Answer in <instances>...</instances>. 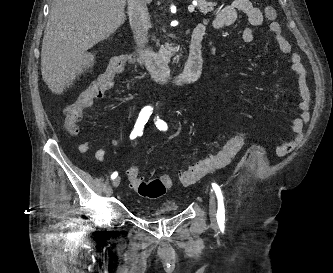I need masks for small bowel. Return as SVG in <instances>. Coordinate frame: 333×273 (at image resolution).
<instances>
[{"label":"small bowel","mask_w":333,"mask_h":273,"mask_svg":"<svg viewBox=\"0 0 333 273\" xmlns=\"http://www.w3.org/2000/svg\"><path fill=\"white\" fill-rule=\"evenodd\" d=\"M239 12L243 13L246 16L250 26H261L266 19V13L263 10L254 7L249 0H233L229 4L225 5L222 9H220V11L216 14L213 21L211 22V27H213L214 29H222L233 25L236 22L237 14ZM200 25L204 28V30L207 29V24ZM269 29L274 34V37L279 45L281 52L285 54H290L291 69L297 76L300 92L299 109L301 115L293 122V137L290 141L284 143L278 151L280 155H284L293 151L301 140L304 123L309 118L310 92L307 85L306 71L301 63L300 55L297 53H292L291 45L282 35L281 27L278 22L270 23ZM241 37L245 43H251L254 39V34L251 28H243L241 32ZM90 144V141L82 142L78 146V151L81 154H85L90 149ZM95 157L98 161L104 162L106 160V152L104 148H97L95 151Z\"/></svg>","instance_id":"1"}]
</instances>
